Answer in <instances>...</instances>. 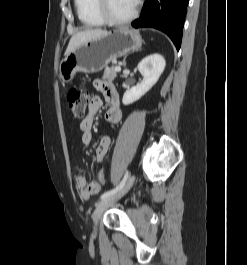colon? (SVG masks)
<instances>
[{
    "instance_id": "obj_1",
    "label": "colon",
    "mask_w": 247,
    "mask_h": 265,
    "mask_svg": "<svg viewBox=\"0 0 247 265\" xmlns=\"http://www.w3.org/2000/svg\"><path fill=\"white\" fill-rule=\"evenodd\" d=\"M89 103V92L87 88L75 86L70 89L66 96V104L74 118H80L84 115ZM98 181L101 185H106V171L101 168L98 173Z\"/></svg>"
}]
</instances>
